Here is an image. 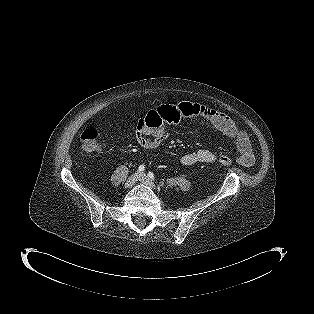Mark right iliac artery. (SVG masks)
Wrapping results in <instances>:
<instances>
[{"label": "right iliac artery", "instance_id": "82829eb1", "mask_svg": "<svg viewBox=\"0 0 314 314\" xmlns=\"http://www.w3.org/2000/svg\"><path fill=\"white\" fill-rule=\"evenodd\" d=\"M144 170H145L144 165H140L139 168H138V171H139V172H142V171H144Z\"/></svg>", "mask_w": 314, "mask_h": 314}]
</instances>
